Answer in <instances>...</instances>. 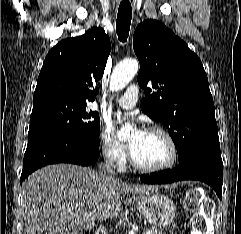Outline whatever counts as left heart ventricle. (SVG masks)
<instances>
[{"mask_svg":"<svg viewBox=\"0 0 241 234\" xmlns=\"http://www.w3.org/2000/svg\"><path fill=\"white\" fill-rule=\"evenodd\" d=\"M129 144L135 159L142 165L160 166L170 159V147L165 138L158 133L134 132Z\"/></svg>","mask_w":241,"mask_h":234,"instance_id":"1","label":"left heart ventricle"}]
</instances>
